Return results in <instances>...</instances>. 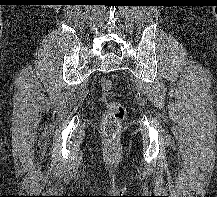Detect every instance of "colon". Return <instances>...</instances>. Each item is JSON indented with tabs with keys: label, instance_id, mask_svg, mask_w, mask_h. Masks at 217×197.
Here are the masks:
<instances>
[{
	"label": "colon",
	"instance_id": "5ec220e1",
	"mask_svg": "<svg viewBox=\"0 0 217 197\" xmlns=\"http://www.w3.org/2000/svg\"><path fill=\"white\" fill-rule=\"evenodd\" d=\"M112 90V82L104 79L101 82V91L105 97H108ZM107 112L102 120V132L108 141L114 140L120 133L121 125L126 116V110L123 105L106 100Z\"/></svg>",
	"mask_w": 217,
	"mask_h": 197
}]
</instances>
